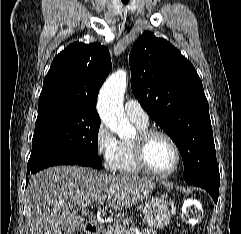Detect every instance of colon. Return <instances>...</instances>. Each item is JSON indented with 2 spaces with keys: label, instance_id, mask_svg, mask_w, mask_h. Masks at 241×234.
<instances>
[{
  "label": "colon",
  "instance_id": "colon-1",
  "mask_svg": "<svg viewBox=\"0 0 241 234\" xmlns=\"http://www.w3.org/2000/svg\"><path fill=\"white\" fill-rule=\"evenodd\" d=\"M202 217L200 204L195 199L188 200L183 206V218L191 225L197 224Z\"/></svg>",
  "mask_w": 241,
  "mask_h": 234
}]
</instances>
